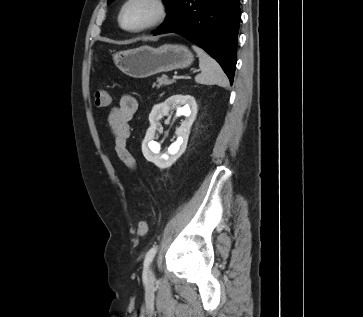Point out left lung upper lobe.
<instances>
[{"label": "left lung upper lobe", "instance_id": "obj_1", "mask_svg": "<svg viewBox=\"0 0 363 317\" xmlns=\"http://www.w3.org/2000/svg\"><path fill=\"white\" fill-rule=\"evenodd\" d=\"M113 0H108V3L112 2ZM166 6H168L172 0H163Z\"/></svg>", "mask_w": 363, "mask_h": 317}]
</instances>
